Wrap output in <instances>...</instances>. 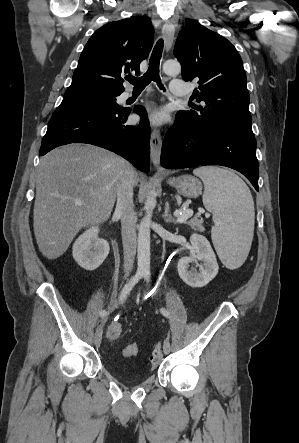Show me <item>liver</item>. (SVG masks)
<instances>
[{"mask_svg":"<svg viewBox=\"0 0 299 443\" xmlns=\"http://www.w3.org/2000/svg\"><path fill=\"white\" fill-rule=\"evenodd\" d=\"M129 172L134 173L137 184L139 176L128 161L90 145L69 144L42 157L33 210L40 252L56 259L83 227L108 220Z\"/></svg>","mask_w":299,"mask_h":443,"instance_id":"6515ba94","label":"liver"}]
</instances>
